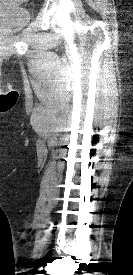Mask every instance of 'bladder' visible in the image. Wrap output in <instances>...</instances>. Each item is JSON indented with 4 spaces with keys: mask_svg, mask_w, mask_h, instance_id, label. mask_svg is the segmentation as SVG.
Masks as SVG:
<instances>
[{
    "mask_svg": "<svg viewBox=\"0 0 133 275\" xmlns=\"http://www.w3.org/2000/svg\"><path fill=\"white\" fill-rule=\"evenodd\" d=\"M18 0H0V30L17 32L27 25L31 14L27 8L17 6Z\"/></svg>",
    "mask_w": 133,
    "mask_h": 275,
    "instance_id": "bladder-1",
    "label": "bladder"
}]
</instances>
